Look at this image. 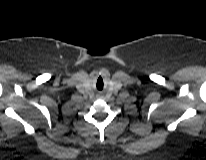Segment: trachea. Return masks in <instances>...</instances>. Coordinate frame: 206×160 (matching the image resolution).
<instances>
[{
  "label": "trachea",
  "mask_w": 206,
  "mask_h": 160,
  "mask_svg": "<svg viewBox=\"0 0 206 160\" xmlns=\"http://www.w3.org/2000/svg\"><path fill=\"white\" fill-rule=\"evenodd\" d=\"M98 81L101 83V87H103V79L101 76L98 78ZM97 84H98V82H97Z\"/></svg>",
  "instance_id": "3493384b"
}]
</instances>
